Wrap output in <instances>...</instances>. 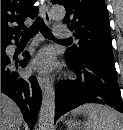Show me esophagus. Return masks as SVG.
I'll return each instance as SVG.
<instances>
[{"label": "esophagus", "mask_w": 123, "mask_h": 130, "mask_svg": "<svg viewBox=\"0 0 123 130\" xmlns=\"http://www.w3.org/2000/svg\"><path fill=\"white\" fill-rule=\"evenodd\" d=\"M40 14H41L42 18L44 19L45 23H47V24L51 23V17H50L48 5L45 4L40 7ZM37 80H38V83H39L41 89L43 91L46 90V88L48 86V79L46 77L38 75Z\"/></svg>", "instance_id": "34e87169"}]
</instances>
